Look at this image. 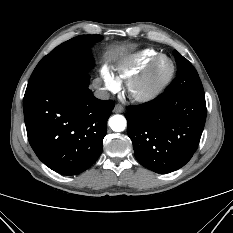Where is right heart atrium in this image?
Here are the masks:
<instances>
[{"instance_id": "d8ad5b80", "label": "right heart atrium", "mask_w": 233, "mask_h": 233, "mask_svg": "<svg viewBox=\"0 0 233 233\" xmlns=\"http://www.w3.org/2000/svg\"><path fill=\"white\" fill-rule=\"evenodd\" d=\"M100 74L107 91L117 92L120 89V82L107 67H103Z\"/></svg>"}]
</instances>
